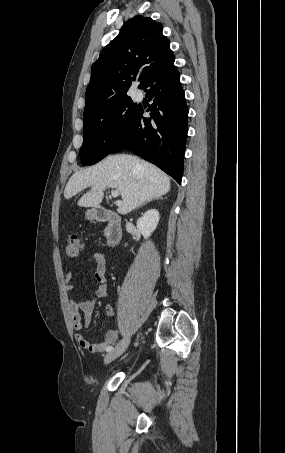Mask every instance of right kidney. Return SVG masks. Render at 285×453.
<instances>
[{
	"label": "right kidney",
	"instance_id": "right-kidney-1",
	"mask_svg": "<svg viewBox=\"0 0 285 453\" xmlns=\"http://www.w3.org/2000/svg\"><path fill=\"white\" fill-rule=\"evenodd\" d=\"M159 218V212L156 209H150L137 220V228L145 239L156 229Z\"/></svg>",
	"mask_w": 285,
	"mask_h": 453
}]
</instances>
